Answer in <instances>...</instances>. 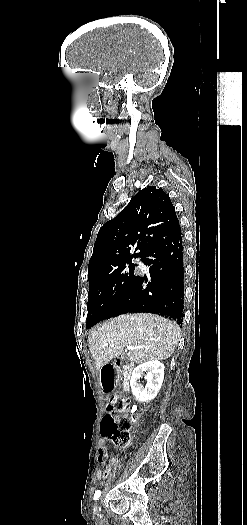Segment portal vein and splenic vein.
Returning a JSON list of instances; mask_svg holds the SVG:
<instances>
[{
    "label": "portal vein and splenic vein",
    "mask_w": 247,
    "mask_h": 525,
    "mask_svg": "<svg viewBox=\"0 0 247 525\" xmlns=\"http://www.w3.org/2000/svg\"><path fill=\"white\" fill-rule=\"evenodd\" d=\"M143 348V345H127L126 349L127 351H132V349H140Z\"/></svg>",
    "instance_id": "18ae733b"
}]
</instances>
